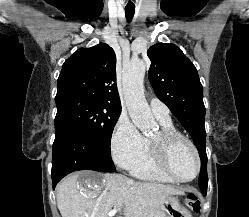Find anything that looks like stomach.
I'll list each match as a JSON object with an SVG mask.
<instances>
[{"instance_id": "1", "label": "stomach", "mask_w": 249, "mask_h": 217, "mask_svg": "<svg viewBox=\"0 0 249 217\" xmlns=\"http://www.w3.org/2000/svg\"><path fill=\"white\" fill-rule=\"evenodd\" d=\"M164 211L169 215L168 217H173L175 214L180 212V203L178 198L174 196H167L163 203Z\"/></svg>"}]
</instances>
